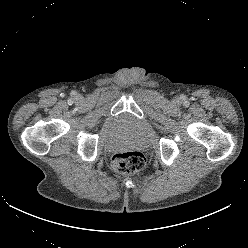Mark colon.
Returning a JSON list of instances; mask_svg holds the SVG:
<instances>
[{
	"label": "colon",
	"instance_id": "5ec220e1",
	"mask_svg": "<svg viewBox=\"0 0 248 248\" xmlns=\"http://www.w3.org/2000/svg\"><path fill=\"white\" fill-rule=\"evenodd\" d=\"M145 163V156L139 151L118 152L112 158L113 169L121 174L139 172L144 168Z\"/></svg>",
	"mask_w": 248,
	"mask_h": 248
}]
</instances>
